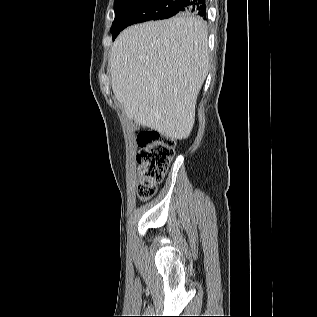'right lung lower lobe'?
<instances>
[{"label": "right lung lower lobe", "instance_id": "obj_1", "mask_svg": "<svg viewBox=\"0 0 317 317\" xmlns=\"http://www.w3.org/2000/svg\"><path fill=\"white\" fill-rule=\"evenodd\" d=\"M180 12H190L206 19L205 0H177Z\"/></svg>", "mask_w": 317, "mask_h": 317}]
</instances>
